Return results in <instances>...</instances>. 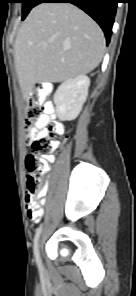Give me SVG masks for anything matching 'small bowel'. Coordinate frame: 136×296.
Segmentation results:
<instances>
[{
    "mask_svg": "<svg viewBox=\"0 0 136 296\" xmlns=\"http://www.w3.org/2000/svg\"><path fill=\"white\" fill-rule=\"evenodd\" d=\"M50 120H51L50 115L48 113H46L41 118V122L38 124V126L36 127V129L33 131V135H35V136L45 135L46 134V130H45L43 124H44V122H47V121H50ZM48 160H50V158H48ZM42 215H43V211H42V209H40V218L42 217ZM38 220H34V221H38Z\"/></svg>",
    "mask_w": 136,
    "mask_h": 296,
    "instance_id": "small-bowel-1",
    "label": "small bowel"
}]
</instances>
